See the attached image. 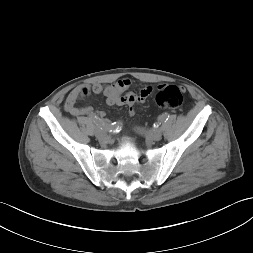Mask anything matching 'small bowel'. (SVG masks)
I'll return each instance as SVG.
<instances>
[{
  "instance_id": "small-bowel-1",
  "label": "small bowel",
  "mask_w": 253,
  "mask_h": 253,
  "mask_svg": "<svg viewBox=\"0 0 253 253\" xmlns=\"http://www.w3.org/2000/svg\"><path fill=\"white\" fill-rule=\"evenodd\" d=\"M130 85L131 81L127 78H124L118 80L113 84L105 86L102 84H94L92 86H78L69 93L65 102V110L72 116H96L95 111L91 107L76 106L78 94L84 89H91L92 92L95 94H103L108 105H128L129 114L134 115V104L143 102L152 93V88L145 87L138 94L132 92L124 94V92L130 87ZM98 115L103 118L104 112H99Z\"/></svg>"
}]
</instances>
